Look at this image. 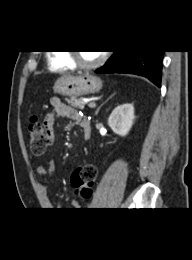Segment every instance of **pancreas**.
<instances>
[{
	"label": "pancreas",
	"mask_w": 192,
	"mask_h": 260,
	"mask_svg": "<svg viewBox=\"0 0 192 260\" xmlns=\"http://www.w3.org/2000/svg\"><path fill=\"white\" fill-rule=\"evenodd\" d=\"M66 102L70 106L81 109V110H83L85 105L87 104L83 99H77V98H72V97L69 99H66Z\"/></svg>",
	"instance_id": "pancreas-1"
}]
</instances>
